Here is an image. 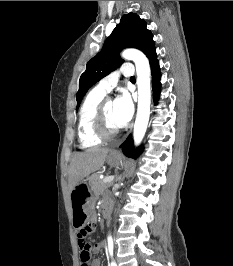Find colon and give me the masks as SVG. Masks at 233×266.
Returning <instances> with one entry per match:
<instances>
[{"instance_id":"1","label":"colon","mask_w":233,"mask_h":266,"mask_svg":"<svg viewBox=\"0 0 233 266\" xmlns=\"http://www.w3.org/2000/svg\"><path fill=\"white\" fill-rule=\"evenodd\" d=\"M95 230V224L93 222H89V225H87V228H84V232H78V245L80 249V262L81 266H88L90 261V255H91V247L86 242L85 238L86 235L91 233Z\"/></svg>"}]
</instances>
